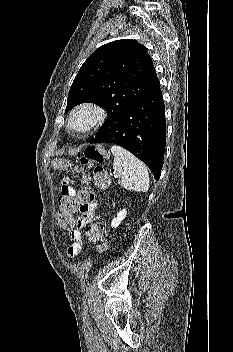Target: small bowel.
I'll return each instance as SVG.
<instances>
[{"label": "small bowel", "mask_w": 233, "mask_h": 352, "mask_svg": "<svg viewBox=\"0 0 233 352\" xmlns=\"http://www.w3.org/2000/svg\"><path fill=\"white\" fill-rule=\"evenodd\" d=\"M62 192L67 196H75V190L69 186H64ZM91 200L84 207L79 208V218L77 228L70 231V238L73 243L68 247L67 253L70 257L76 256L82 249V233L81 229L91 222L98 219L97 201L93 192H90Z\"/></svg>", "instance_id": "obj_1"}]
</instances>
